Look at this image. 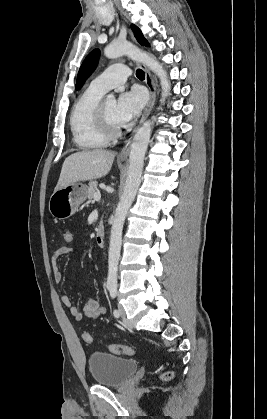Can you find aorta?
Returning <instances> with one entry per match:
<instances>
[{"label": "aorta", "instance_id": "obj_1", "mask_svg": "<svg viewBox=\"0 0 267 419\" xmlns=\"http://www.w3.org/2000/svg\"><path fill=\"white\" fill-rule=\"evenodd\" d=\"M104 54L108 58H116L127 55L146 65L154 72L159 80L162 88L163 101L170 94L171 83L163 66L146 52L140 51L129 42H115L107 46ZM108 102H115L113 95L107 96ZM152 132V122L146 121L136 132L131 144L129 155L128 174L123 190V194L115 210V216L111 227L109 255H108V278L107 287H116L118 263L122 245V230L126 215L131 207L137 190L141 183V175L143 171L144 157L148 147Z\"/></svg>", "mask_w": 267, "mask_h": 419}]
</instances>
